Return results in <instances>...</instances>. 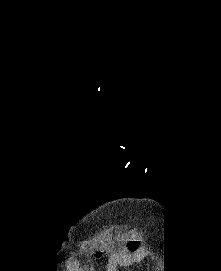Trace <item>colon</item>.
Segmentation results:
<instances>
[{"instance_id": "5ec220e1", "label": "colon", "mask_w": 221, "mask_h": 271, "mask_svg": "<svg viewBox=\"0 0 221 271\" xmlns=\"http://www.w3.org/2000/svg\"><path fill=\"white\" fill-rule=\"evenodd\" d=\"M138 246H139V244H135V245H131L130 248L133 249V248H136V247H138ZM104 253H105L104 250H99V251L96 252V255H97L98 257H100V256H102Z\"/></svg>"}]
</instances>
